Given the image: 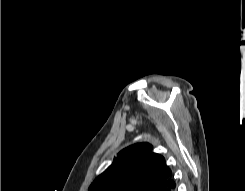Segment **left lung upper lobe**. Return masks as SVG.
<instances>
[{
    "label": "left lung upper lobe",
    "mask_w": 245,
    "mask_h": 191,
    "mask_svg": "<svg viewBox=\"0 0 245 191\" xmlns=\"http://www.w3.org/2000/svg\"><path fill=\"white\" fill-rule=\"evenodd\" d=\"M152 149L146 142L124 148L92 182L89 191H160L173 173L165 158Z\"/></svg>",
    "instance_id": "left-lung-upper-lobe-1"
}]
</instances>
